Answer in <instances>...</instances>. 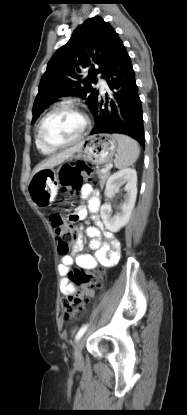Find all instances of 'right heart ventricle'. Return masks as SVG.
Returning <instances> with one entry per match:
<instances>
[{
	"mask_svg": "<svg viewBox=\"0 0 187 415\" xmlns=\"http://www.w3.org/2000/svg\"><path fill=\"white\" fill-rule=\"evenodd\" d=\"M35 142H36V146H37L38 150H39L42 154H44V155H51V154H53V153L55 152V150H54V149L47 148V147H45L43 144H41V142L39 141V139H38V137H37V136H36V140H35Z\"/></svg>",
	"mask_w": 187,
	"mask_h": 415,
	"instance_id": "right-heart-ventricle-1",
	"label": "right heart ventricle"
}]
</instances>
